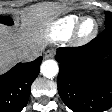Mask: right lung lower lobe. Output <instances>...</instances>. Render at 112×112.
Listing matches in <instances>:
<instances>
[{
    "label": "right lung lower lobe",
    "instance_id": "right-lung-lower-lobe-1",
    "mask_svg": "<svg viewBox=\"0 0 112 112\" xmlns=\"http://www.w3.org/2000/svg\"><path fill=\"white\" fill-rule=\"evenodd\" d=\"M41 61L42 57H39L29 63H18L0 75V112H20L25 107Z\"/></svg>",
    "mask_w": 112,
    "mask_h": 112
}]
</instances>
